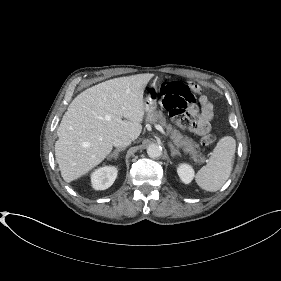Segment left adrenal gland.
Here are the masks:
<instances>
[{
    "label": "left adrenal gland",
    "mask_w": 281,
    "mask_h": 281,
    "mask_svg": "<svg viewBox=\"0 0 281 281\" xmlns=\"http://www.w3.org/2000/svg\"><path fill=\"white\" fill-rule=\"evenodd\" d=\"M169 147H170V149H171V156H172V157H175L176 155L181 156L179 150L176 149V148L174 147V145H173L171 142L169 143Z\"/></svg>",
    "instance_id": "1"
}]
</instances>
